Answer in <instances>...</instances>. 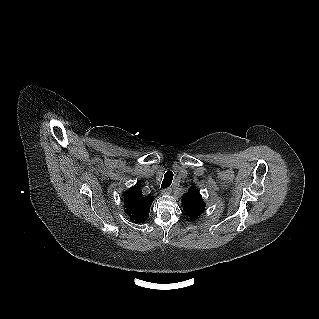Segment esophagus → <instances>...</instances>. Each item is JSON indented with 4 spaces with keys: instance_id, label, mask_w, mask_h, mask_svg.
I'll return each instance as SVG.
<instances>
[{
    "instance_id": "34e87169",
    "label": "esophagus",
    "mask_w": 319,
    "mask_h": 319,
    "mask_svg": "<svg viewBox=\"0 0 319 319\" xmlns=\"http://www.w3.org/2000/svg\"><path fill=\"white\" fill-rule=\"evenodd\" d=\"M172 189L170 187L165 188L161 191L162 195H169L171 193Z\"/></svg>"
}]
</instances>
